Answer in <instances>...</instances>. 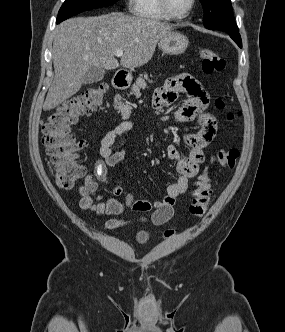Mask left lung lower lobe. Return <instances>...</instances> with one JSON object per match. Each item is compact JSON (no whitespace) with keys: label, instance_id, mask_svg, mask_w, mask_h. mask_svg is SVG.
<instances>
[{"label":"left lung lower lobe","instance_id":"obj_1","mask_svg":"<svg viewBox=\"0 0 285 332\" xmlns=\"http://www.w3.org/2000/svg\"><path fill=\"white\" fill-rule=\"evenodd\" d=\"M227 34L236 42L240 48H242V41L239 33L227 32Z\"/></svg>","mask_w":285,"mask_h":332}]
</instances>
